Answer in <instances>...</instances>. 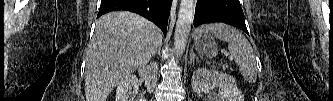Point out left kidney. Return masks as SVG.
<instances>
[{"label":"left kidney","instance_id":"obj_1","mask_svg":"<svg viewBox=\"0 0 333 101\" xmlns=\"http://www.w3.org/2000/svg\"><path fill=\"white\" fill-rule=\"evenodd\" d=\"M219 87L221 97L217 101H243V95L238 89L236 80L229 74L198 68L192 75V89L196 93L209 91Z\"/></svg>","mask_w":333,"mask_h":101}]
</instances>
